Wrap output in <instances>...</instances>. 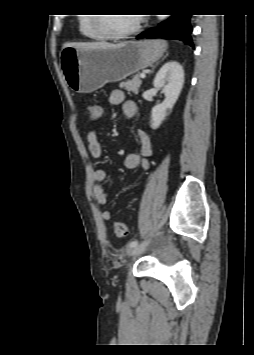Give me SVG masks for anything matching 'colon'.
I'll use <instances>...</instances> for the list:
<instances>
[{"instance_id": "colon-1", "label": "colon", "mask_w": 254, "mask_h": 355, "mask_svg": "<svg viewBox=\"0 0 254 355\" xmlns=\"http://www.w3.org/2000/svg\"><path fill=\"white\" fill-rule=\"evenodd\" d=\"M88 118L91 122L98 120L102 114V107L99 104H88L86 106ZM114 233L117 237H125L128 235V227L123 222L114 223Z\"/></svg>"}]
</instances>
